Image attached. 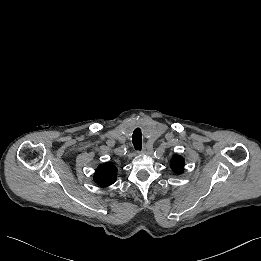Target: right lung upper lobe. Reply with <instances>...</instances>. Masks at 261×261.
Instances as JSON below:
<instances>
[{"label": "right lung upper lobe", "instance_id": "1", "mask_svg": "<svg viewBox=\"0 0 261 261\" xmlns=\"http://www.w3.org/2000/svg\"><path fill=\"white\" fill-rule=\"evenodd\" d=\"M117 168L111 163H105L98 166L94 180L101 186H109L116 181Z\"/></svg>", "mask_w": 261, "mask_h": 261}]
</instances>
